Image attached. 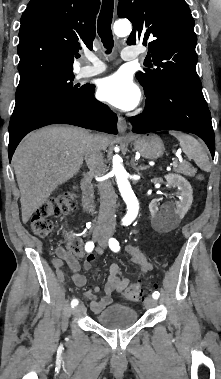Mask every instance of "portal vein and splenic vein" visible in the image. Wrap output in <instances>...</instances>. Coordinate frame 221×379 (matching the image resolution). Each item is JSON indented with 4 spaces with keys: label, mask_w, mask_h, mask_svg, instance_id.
<instances>
[{
    "label": "portal vein and splenic vein",
    "mask_w": 221,
    "mask_h": 379,
    "mask_svg": "<svg viewBox=\"0 0 221 379\" xmlns=\"http://www.w3.org/2000/svg\"><path fill=\"white\" fill-rule=\"evenodd\" d=\"M176 164H177V159L173 160L171 165H173L175 167Z\"/></svg>",
    "instance_id": "18ae733b"
}]
</instances>
